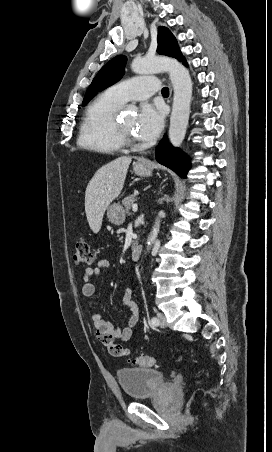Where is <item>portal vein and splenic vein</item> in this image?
Listing matches in <instances>:
<instances>
[{"label": "portal vein and splenic vein", "mask_w": 272, "mask_h": 452, "mask_svg": "<svg viewBox=\"0 0 272 452\" xmlns=\"http://www.w3.org/2000/svg\"><path fill=\"white\" fill-rule=\"evenodd\" d=\"M137 209H138V205L137 204H133L132 210L135 212V211H137Z\"/></svg>", "instance_id": "obj_1"}]
</instances>
